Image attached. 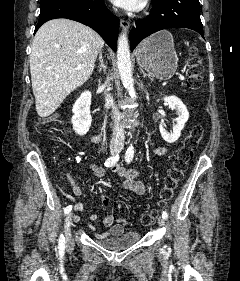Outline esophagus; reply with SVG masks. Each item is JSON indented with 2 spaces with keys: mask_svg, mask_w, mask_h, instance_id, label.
<instances>
[{
  "mask_svg": "<svg viewBox=\"0 0 240 281\" xmlns=\"http://www.w3.org/2000/svg\"><path fill=\"white\" fill-rule=\"evenodd\" d=\"M120 25L125 32H129L130 22L124 19H120Z\"/></svg>",
  "mask_w": 240,
  "mask_h": 281,
  "instance_id": "esophagus-1",
  "label": "esophagus"
}]
</instances>
